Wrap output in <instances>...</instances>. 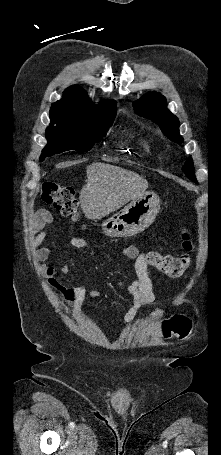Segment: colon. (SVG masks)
Returning a JSON list of instances; mask_svg holds the SVG:
<instances>
[{"label": "colon", "instance_id": "1", "mask_svg": "<svg viewBox=\"0 0 221 455\" xmlns=\"http://www.w3.org/2000/svg\"><path fill=\"white\" fill-rule=\"evenodd\" d=\"M41 199L65 217L78 219L80 216L78 200L74 195V190L70 187L62 186L55 182H45L42 185ZM182 237L183 246L187 253L175 257L163 255L158 251H151L146 256L147 262L167 276H180L191 263V257L188 252L193 248L189 232L185 231ZM191 327L192 324L187 317L175 315L163 322L162 331L166 338L171 336L184 338L190 333Z\"/></svg>", "mask_w": 221, "mask_h": 455}]
</instances>
